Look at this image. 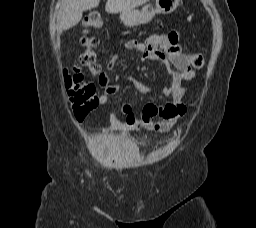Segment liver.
Segmentation results:
<instances>
[{"label": "liver", "instance_id": "obj_1", "mask_svg": "<svg viewBox=\"0 0 256 228\" xmlns=\"http://www.w3.org/2000/svg\"><path fill=\"white\" fill-rule=\"evenodd\" d=\"M149 0H107L105 10L108 13H118L136 8ZM100 0H62L63 10L60 13L59 32L77 25L82 14L99 5Z\"/></svg>", "mask_w": 256, "mask_h": 228}]
</instances>
